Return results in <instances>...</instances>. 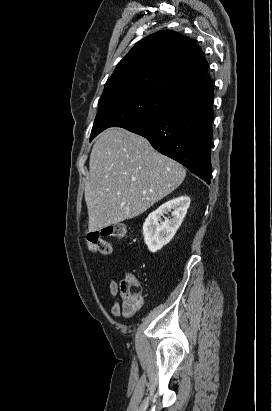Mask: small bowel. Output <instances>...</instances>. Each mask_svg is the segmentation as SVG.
I'll return each instance as SVG.
<instances>
[{"label": "small bowel", "instance_id": "small-bowel-1", "mask_svg": "<svg viewBox=\"0 0 272 411\" xmlns=\"http://www.w3.org/2000/svg\"><path fill=\"white\" fill-rule=\"evenodd\" d=\"M110 294L115 298V301L111 307V313L115 318H119L122 313V306L117 300L118 296V283L115 280H111L109 283Z\"/></svg>", "mask_w": 272, "mask_h": 411}]
</instances>
